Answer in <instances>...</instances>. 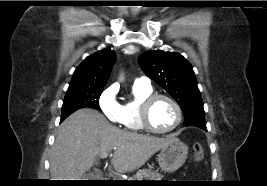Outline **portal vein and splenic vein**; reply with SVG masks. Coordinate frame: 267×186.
Masks as SVG:
<instances>
[{
    "instance_id": "18ae733b",
    "label": "portal vein and splenic vein",
    "mask_w": 267,
    "mask_h": 186,
    "mask_svg": "<svg viewBox=\"0 0 267 186\" xmlns=\"http://www.w3.org/2000/svg\"><path fill=\"white\" fill-rule=\"evenodd\" d=\"M108 155H109L108 153H102V154H100V158H103V159L107 158Z\"/></svg>"
}]
</instances>
